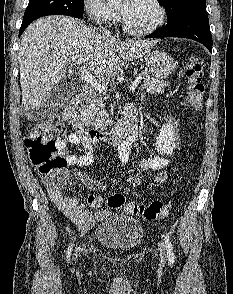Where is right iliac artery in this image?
Wrapping results in <instances>:
<instances>
[{"label":"right iliac artery","mask_w":233,"mask_h":294,"mask_svg":"<svg viewBox=\"0 0 233 294\" xmlns=\"http://www.w3.org/2000/svg\"><path fill=\"white\" fill-rule=\"evenodd\" d=\"M71 252H72V245H70V246L68 247V251H67V261H69V259H70Z\"/></svg>","instance_id":"right-iliac-artery-1"}]
</instances>
